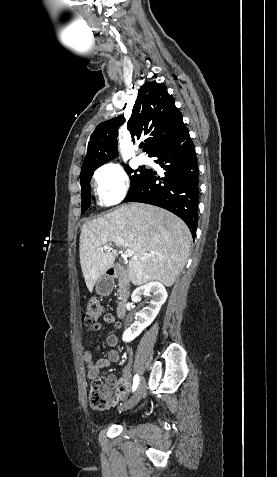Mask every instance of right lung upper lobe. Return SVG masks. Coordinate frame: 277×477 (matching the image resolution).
Listing matches in <instances>:
<instances>
[{
	"mask_svg": "<svg viewBox=\"0 0 277 477\" xmlns=\"http://www.w3.org/2000/svg\"><path fill=\"white\" fill-rule=\"evenodd\" d=\"M124 121L119 116L96 127L88 143L82 170L99 167L117 155L118 128ZM127 127L133 142L142 136H148L145 142L149 155L186 129L182 114L167 88L156 82H147L140 88Z\"/></svg>",
	"mask_w": 277,
	"mask_h": 477,
	"instance_id": "cb5924a9",
	"label": "right lung upper lobe"
}]
</instances>
